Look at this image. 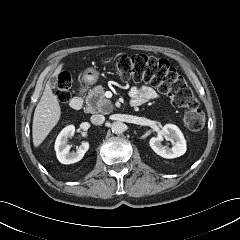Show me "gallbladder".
Here are the masks:
<instances>
[{
	"instance_id": "gallbladder-1",
	"label": "gallbladder",
	"mask_w": 240,
	"mask_h": 240,
	"mask_svg": "<svg viewBox=\"0 0 240 240\" xmlns=\"http://www.w3.org/2000/svg\"><path fill=\"white\" fill-rule=\"evenodd\" d=\"M49 84H50V87L54 89L57 85V79L55 77L50 78Z\"/></svg>"
}]
</instances>
